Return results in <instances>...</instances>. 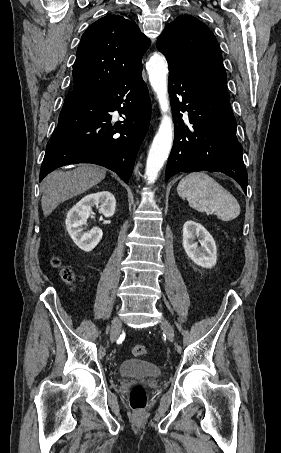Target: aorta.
<instances>
[{
  "label": "aorta",
  "mask_w": 281,
  "mask_h": 453,
  "mask_svg": "<svg viewBox=\"0 0 281 453\" xmlns=\"http://www.w3.org/2000/svg\"><path fill=\"white\" fill-rule=\"evenodd\" d=\"M149 82L156 94L162 118L149 150L145 175L148 183L156 181L158 173L167 160L173 143V120L168 96V64L163 55L155 53L146 66Z\"/></svg>",
  "instance_id": "1"
}]
</instances>
